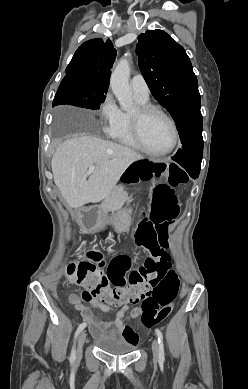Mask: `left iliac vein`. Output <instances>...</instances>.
<instances>
[{"label":"left iliac vein","instance_id":"1","mask_svg":"<svg viewBox=\"0 0 248 389\" xmlns=\"http://www.w3.org/2000/svg\"><path fill=\"white\" fill-rule=\"evenodd\" d=\"M152 352H153V358L154 361L159 360V345L156 339H153L152 341Z\"/></svg>","mask_w":248,"mask_h":389}]
</instances>
